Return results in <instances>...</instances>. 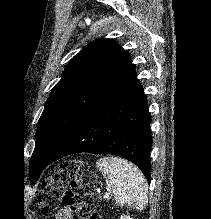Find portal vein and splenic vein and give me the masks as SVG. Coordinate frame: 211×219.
I'll return each instance as SVG.
<instances>
[{
	"label": "portal vein and splenic vein",
	"mask_w": 211,
	"mask_h": 219,
	"mask_svg": "<svg viewBox=\"0 0 211 219\" xmlns=\"http://www.w3.org/2000/svg\"><path fill=\"white\" fill-rule=\"evenodd\" d=\"M104 198L109 199V195H108V194H105V195H104Z\"/></svg>",
	"instance_id": "portal-vein-and-splenic-vein-1"
}]
</instances>
